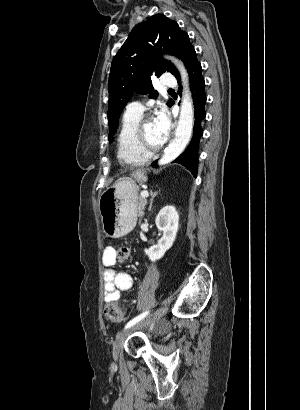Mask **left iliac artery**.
<instances>
[{"label": "left iliac artery", "mask_w": 300, "mask_h": 410, "mask_svg": "<svg viewBox=\"0 0 300 410\" xmlns=\"http://www.w3.org/2000/svg\"><path fill=\"white\" fill-rule=\"evenodd\" d=\"M149 314V311H145L143 313H141L140 315L136 316L135 318H133L132 320H130L126 326L125 329L133 326L134 324H136L137 322L141 321L142 319H144L147 315Z\"/></svg>", "instance_id": "obj_1"}]
</instances>
